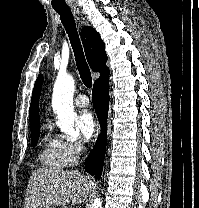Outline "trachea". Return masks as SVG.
I'll list each match as a JSON object with an SVG mask.
<instances>
[{
    "mask_svg": "<svg viewBox=\"0 0 199 208\" xmlns=\"http://www.w3.org/2000/svg\"><path fill=\"white\" fill-rule=\"evenodd\" d=\"M56 12L60 15L61 21L70 38V43L72 45L74 55H75L76 66L79 71L81 80L87 88H91L92 76H91L89 66L86 62L85 56H84L81 42L79 40L73 14L69 8L56 9Z\"/></svg>",
    "mask_w": 199,
    "mask_h": 208,
    "instance_id": "1",
    "label": "trachea"
}]
</instances>
